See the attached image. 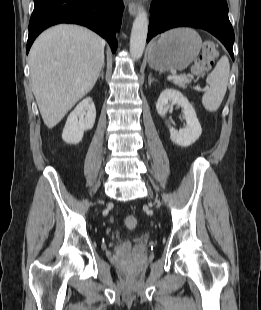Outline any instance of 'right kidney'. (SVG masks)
Wrapping results in <instances>:
<instances>
[{"instance_id":"1","label":"right kidney","mask_w":261,"mask_h":310,"mask_svg":"<svg viewBox=\"0 0 261 310\" xmlns=\"http://www.w3.org/2000/svg\"><path fill=\"white\" fill-rule=\"evenodd\" d=\"M96 109L91 97L82 100L67 118L62 139L69 144H78L86 130L93 128Z\"/></svg>"}]
</instances>
